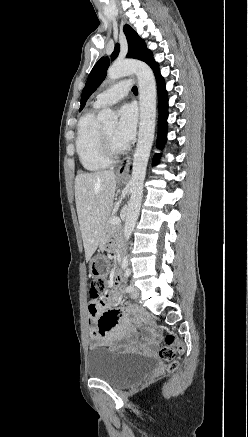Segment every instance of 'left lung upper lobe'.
I'll return each instance as SVG.
<instances>
[{
    "label": "left lung upper lobe",
    "instance_id": "obj_1",
    "mask_svg": "<svg viewBox=\"0 0 248 437\" xmlns=\"http://www.w3.org/2000/svg\"><path fill=\"white\" fill-rule=\"evenodd\" d=\"M123 31L127 38L128 43V58L139 59L146 62L154 72L159 69L158 63L153 59L152 52L146 48L145 42L138 34L129 26L125 25ZM119 53V45L117 44L114 52L111 54V59L114 60ZM110 65V60L107 57H102L93 67L89 74L86 85L81 95V107L80 111L85 106V103L89 96L97 89V87L105 79L106 71Z\"/></svg>",
    "mask_w": 248,
    "mask_h": 437
}]
</instances>
